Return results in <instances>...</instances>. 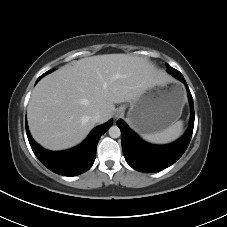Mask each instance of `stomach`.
<instances>
[{"mask_svg":"<svg viewBox=\"0 0 227 227\" xmlns=\"http://www.w3.org/2000/svg\"><path fill=\"white\" fill-rule=\"evenodd\" d=\"M184 103L181 86H152L130 102L126 120L140 133L160 132L179 119Z\"/></svg>","mask_w":227,"mask_h":227,"instance_id":"0dacf381","label":"stomach"}]
</instances>
